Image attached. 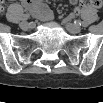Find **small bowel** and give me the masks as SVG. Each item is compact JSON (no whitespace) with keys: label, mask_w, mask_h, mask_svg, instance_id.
I'll return each mask as SVG.
<instances>
[{"label":"small bowel","mask_w":103,"mask_h":103,"mask_svg":"<svg viewBox=\"0 0 103 103\" xmlns=\"http://www.w3.org/2000/svg\"><path fill=\"white\" fill-rule=\"evenodd\" d=\"M22 6L42 20H51L53 17L50 8L40 0H23ZM1 8H3V4H1Z\"/></svg>","instance_id":"c3829d8e"}]
</instances>
